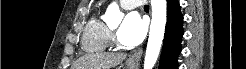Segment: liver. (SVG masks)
I'll use <instances>...</instances> for the list:
<instances>
[{"instance_id":"6515ba94","label":"liver","mask_w":246,"mask_h":69,"mask_svg":"<svg viewBox=\"0 0 246 69\" xmlns=\"http://www.w3.org/2000/svg\"><path fill=\"white\" fill-rule=\"evenodd\" d=\"M126 58L123 53H98L85 55L77 60L74 69H111Z\"/></svg>"}]
</instances>
